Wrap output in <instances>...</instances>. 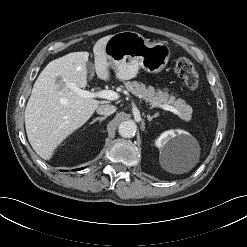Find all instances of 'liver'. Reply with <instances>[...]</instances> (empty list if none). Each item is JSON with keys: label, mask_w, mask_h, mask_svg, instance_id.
I'll return each instance as SVG.
<instances>
[{"label": "liver", "mask_w": 247, "mask_h": 247, "mask_svg": "<svg viewBox=\"0 0 247 247\" xmlns=\"http://www.w3.org/2000/svg\"><path fill=\"white\" fill-rule=\"evenodd\" d=\"M112 35L99 39L94 47L97 76L109 80V63L105 46ZM88 52H72L47 64L36 79L25 109V127L34 151L49 160L58 145L85 124L99 104L93 98L80 97L69 88L87 86Z\"/></svg>", "instance_id": "obj_1"}]
</instances>
